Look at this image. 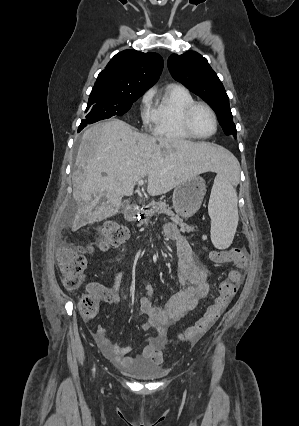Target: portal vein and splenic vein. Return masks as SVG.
Here are the masks:
<instances>
[{"mask_svg": "<svg viewBox=\"0 0 299 426\" xmlns=\"http://www.w3.org/2000/svg\"><path fill=\"white\" fill-rule=\"evenodd\" d=\"M138 185H139V186L144 185V181H143V180H139V181H138Z\"/></svg>", "mask_w": 299, "mask_h": 426, "instance_id": "portal-vein-and-splenic-vein-1", "label": "portal vein and splenic vein"}]
</instances>
